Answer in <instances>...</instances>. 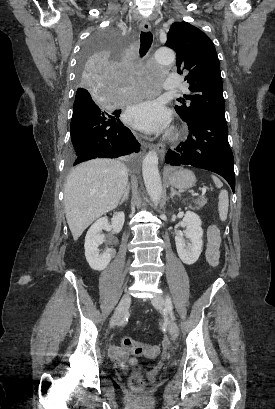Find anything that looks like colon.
<instances>
[{"instance_id":"1","label":"colon","mask_w":275,"mask_h":409,"mask_svg":"<svg viewBox=\"0 0 275 409\" xmlns=\"http://www.w3.org/2000/svg\"><path fill=\"white\" fill-rule=\"evenodd\" d=\"M122 344L129 353H134L136 358H156L158 356L159 343L145 342L144 340H123ZM129 383L134 388H142L145 380L142 376L132 375Z\"/></svg>"}]
</instances>
